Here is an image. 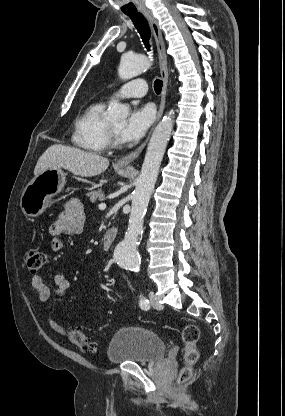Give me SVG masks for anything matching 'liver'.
Returning <instances> with one entry per match:
<instances>
[{
  "label": "liver",
  "mask_w": 285,
  "mask_h": 416,
  "mask_svg": "<svg viewBox=\"0 0 285 416\" xmlns=\"http://www.w3.org/2000/svg\"><path fill=\"white\" fill-rule=\"evenodd\" d=\"M109 166L108 158L83 152L79 148H69V146H50L42 156H40L34 170V176H39L49 168H64L75 176L81 178H92L105 172Z\"/></svg>",
  "instance_id": "obj_1"
}]
</instances>
